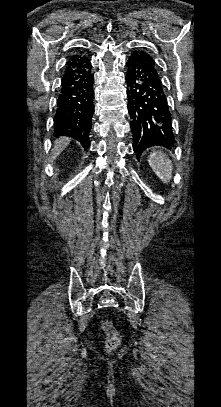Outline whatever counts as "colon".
<instances>
[{"instance_id": "5ec220e1", "label": "colon", "mask_w": 221, "mask_h": 407, "mask_svg": "<svg viewBox=\"0 0 221 407\" xmlns=\"http://www.w3.org/2000/svg\"><path fill=\"white\" fill-rule=\"evenodd\" d=\"M102 329L106 334V342L109 348H114L120 342V334L117 329L108 321L102 322Z\"/></svg>"}]
</instances>
